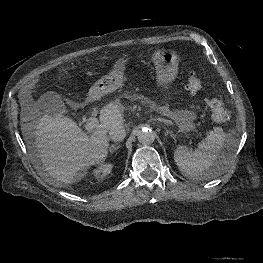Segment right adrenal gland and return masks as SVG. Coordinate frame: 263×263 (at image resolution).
<instances>
[{
	"instance_id": "obj_1",
	"label": "right adrenal gland",
	"mask_w": 263,
	"mask_h": 263,
	"mask_svg": "<svg viewBox=\"0 0 263 263\" xmlns=\"http://www.w3.org/2000/svg\"><path fill=\"white\" fill-rule=\"evenodd\" d=\"M119 148H120V145L116 146L115 144H113V145L110 146L109 151H110L111 154H113Z\"/></svg>"
}]
</instances>
